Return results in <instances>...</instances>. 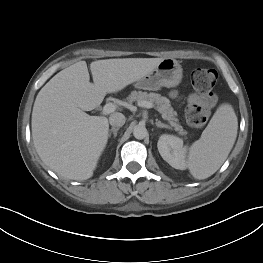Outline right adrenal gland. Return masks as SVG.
<instances>
[{
    "label": "right adrenal gland",
    "mask_w": 263,
    "mask_h": 263,
    "mask_svg": "<svg viewBox=\"0 0 263 263\" xmlns=\"http://www.w3.org/2000/svg\"><path fill=\"white\" fill-rule=\"evenodd\" d=\"M118 130H119V128H114V127L111 128V130L108 133V137H111V135L113 134L114 138H116Z\"/></svg>",
    "instance_id": "1"
}]
</instances>
